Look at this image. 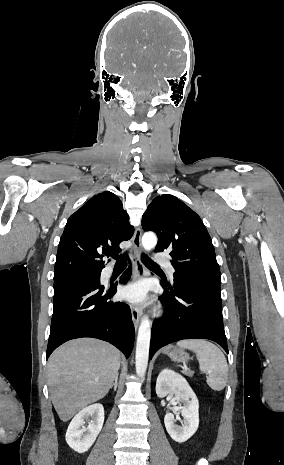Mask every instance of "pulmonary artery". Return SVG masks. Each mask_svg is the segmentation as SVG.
<instances>
[{
    "label": "pulmonary artery",
    "mask_w": 284,
    "mask_h": 465,
    "mask_svg": "<svg viewBox=\"0 0 284 465\" xmlns=\"http://www.w3.org/2000/svg\"><path fill=\"white\" fill-rule=\"evenodd\" d=\"M154 257L158 263H168L169 262V255L168 254H161L160 251L154 252ZM171 275H173L174 271L171 270Z\"/></svg>",
    "instance_id": "obj_1"
}]
</instances>
